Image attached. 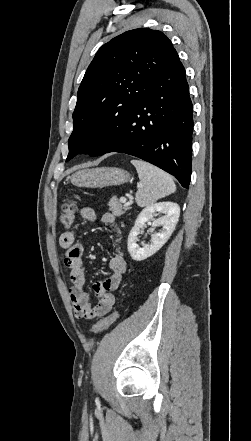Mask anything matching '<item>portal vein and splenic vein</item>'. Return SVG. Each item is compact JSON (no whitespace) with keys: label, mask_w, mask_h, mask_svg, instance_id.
Listing matches in <instances>:
<instances>
[{"label":"portal vein and splenic vein","mask_w":251,"mask_h":441,"mask_svg":"<svg viewBox=\"0 0 251 441\" xmlns=\"http://www.w3.org/2000/svg\"><path fill=\"white\" fill-rule=\"evenodd\" d=\"M126 201H127V199H126L125 197H121V198H120V202H121V203H126Z\"/></svg>","instance_id":"18ae733b"}]
</instances>
